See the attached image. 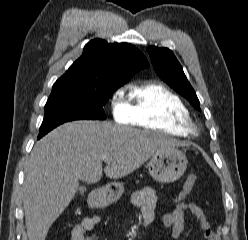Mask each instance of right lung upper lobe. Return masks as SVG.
<instances>
[{"instance_id": "obj_1", "label": "right lung upper lobe", "mask_w": 248, "mask_h": 240, "mask_svg": "<svg viewBox=\"0 0 248 240\" xmlns=\"http://www.w3.org/2000/svg\"><path fill=\"white\" fill-rule=\"evenodd\" d=\"M148 65L145 56L129 43L93 39L85 45L82 56L54 83L52 90L119 88Z\"/></svg>"}]
</instances>
